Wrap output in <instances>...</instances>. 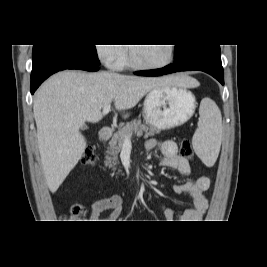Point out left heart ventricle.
I'll list each match as a JSON object with an SVG mask.
<instances>
[{"label": "left heart ventricle", "instance_id": "obj_1", "mask_svg": "<svg viewBox=\"0 0 267 267\" xmlns=\"http://www.w3.org/2000/svg\"><path fill=\"white\" fill-rule=\"evenodd\" d=\"M135 59L143 64L157 65L167 60L169 48L166 44L157 46H133Z\"/></svg>", "mask_w": 267, "mask_h": 267}]
</instances>
